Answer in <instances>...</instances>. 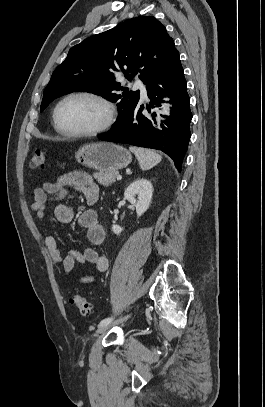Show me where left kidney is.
Masks as SVG:
<instances>
[{
    "label": "left kidney",
    "instance_id": "5707ae66",
    "mask_svg": "<svg viewBox=\"0 0 265 407\" xmlns=\"http://www.w3.org/2000/svg\"><path fill=\"white\" fill-rule=\"evenodd\" d=\"M153 194V186L147 179H137L131 183L124 192V197L136 207L137 216H141L149 208ZM137 196V199L135 198ZM112 231L119 235L123 228L118 225L112 226Z\"/></svg>",
    "mask_w": 265,
    "mask_h": 407
}]
</instances>
